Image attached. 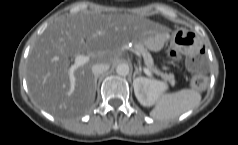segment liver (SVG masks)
<instances>
[{
	"label": "liver",
	"mask_w": 238,
	"mask_h": 145,
	"mask_svg": "<svg viewBox=\"0 0 238 145\" xmlns=\"http://www.w3.org/2000/svg\"><path fill=\"white\" fill-rule=\"evenodd\" d=\"M166 28L130 14L73 12L57 18L30 50L26 78L31 96L46 112L58 118L87 113L95 100L92 66L113 64L128 42H143ZM89 53L91 60L74 71L70 92L69 58Z\"/></svg>",
	"instance_id": "liver-1"
}]
</instances>
